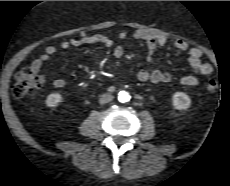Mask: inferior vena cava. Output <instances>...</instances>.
Instances as JSON below:
<instances>
[{
  "label": "inferior vena cava",
  "mask_w": 230,
  "mask_h": 186,
  "mask_svg": "<svg viewBox=\"0 0 230 186\" xmlns=\"http://www.w3.org/2000/svg\"><path fill=\"white\" fill-rule=\"evenodd\" d=\"M113 95L110 93H105L100 96L99 103L105 104L113 100Z\"/></svg>",
  "instance_id": "obj_1"
}]
</instances>
